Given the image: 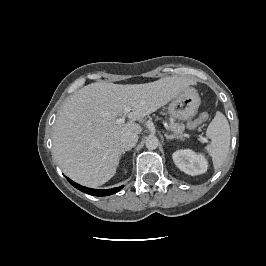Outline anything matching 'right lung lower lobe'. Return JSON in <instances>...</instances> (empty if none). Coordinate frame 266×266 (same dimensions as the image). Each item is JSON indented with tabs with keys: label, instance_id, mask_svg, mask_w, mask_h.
Instances as JSON below:
<instances>
[{
	"label": "right lung lower lobe",
	"instance_id": "right-lung-lower-lobe-1",
	"mask_svg": "<svg viewBox=\"0 0 266 266\" xmlns=\"http://www.w3.org/2000/svg\"><path fill=\"white\" fill-rule=\"evenodd\" d=\"M67 180L69 181V183L74 186L75 188L79 189L80 191L90 194V195H94V196H107V195H111L114 193H117L118 191H120L122 189L121 187H116V188H112V189H103V190H97V189H91V188H87L84 186H81L75 182H73L71 179L67 178Z\"/></svg>",
	"mask_w": 266,
	"mask_h": 266
}]
</instances>
